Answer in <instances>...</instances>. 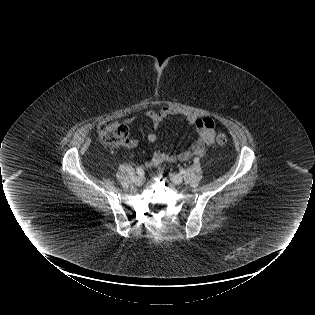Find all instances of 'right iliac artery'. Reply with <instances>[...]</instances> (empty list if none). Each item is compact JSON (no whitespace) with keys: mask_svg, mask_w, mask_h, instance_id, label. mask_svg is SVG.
Returning <instances> with one entry per match:
<instances>
[{"mask_svg":"<svg viewBox=\"0 0 315 315\" xmlns=\"http://www.w3.org/2000/svg\"><path fill=\"white\" fill-rule=\"evenodd\" d=\"M137 174H138V175H143V174H144V169H143L142 166H140V167L137 168Z\"/></svg>","mask_w":315,"mask_h":315,"instance_id":"obj_1","label":"right iliac artery"}]
</instances>
